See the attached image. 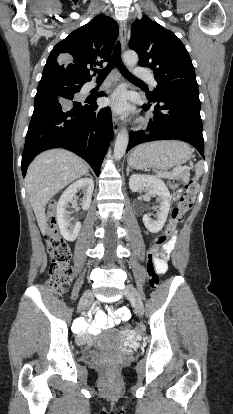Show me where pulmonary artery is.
<instances>
[{
  "mask_svg": "<svg viewBox=\"0 0 233 414\" xmlns=\"http://www.w3.org/2000/svg\"><path fill=\"white\" fill-rule=\"evenodd\" d=\"M134 73L137 77L149 81L153 87H156L157 82L149 71L137 68L135 69ZM95 85V83H92L91 87H94Z\"/></svg>",
  "mask_w": 233,
  "mask_h": 414,
  "instance_id": "e3ab8cb5",
  "label": "pulmonary artery"
}]
</instances>
